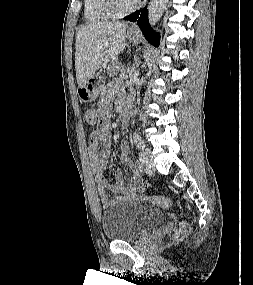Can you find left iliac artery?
I'll return each instance as SVG.
<instances>
[{"label":"left iliac artery","mask_w":253,"mask_h":285,"mask_svg":"<svg viewBox=\"0 0 253 285\" xmlns=\"http://www.w3.org/2000/svg\"><path fill=\"white\" fill-rule=\"evenodd\" d=\"M133 138H134V142H135L136 146L139 149H143L145 147L144 142H143V140H142L140 135L134 134Z\"/></svg>","instance_id":"1"}]
</instances>
